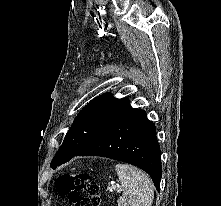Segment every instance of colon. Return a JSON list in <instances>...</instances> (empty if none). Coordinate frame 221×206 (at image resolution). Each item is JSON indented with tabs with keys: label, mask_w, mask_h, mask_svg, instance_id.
<instances>
[{
	"label": "colon",
	"mask_w": 221,
	"mask_h": 206,
	"mask_svg": "<svg viewBox=\"0 0 221 206\" xmlns=\"http://www.w3.org/2000/svg\"><path fill=\"white\" fill-rule=\"evenodd\" d=\"M57 191L72 206H100V190L94 178L83 172L66 173L56 181Z\"/></svg>",
	"instance_id": "5ec220e1"
}]
</instances>
